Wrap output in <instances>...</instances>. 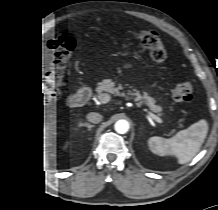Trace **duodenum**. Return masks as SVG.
Returning a JSON list of instances; mask_svg holds the SVG:
<instances>
[{"mask_svg":"<svg viewBox=\"0 0 218 210\" xmlns=\"http://www.w3.org/2000/svg\"><path fill=\"white\" fill-rule=\"evenodd\" d=\"M89 95L90 90L88 88H82L75 94L73 101V107L75 108V110H78L82 105H84L88 101Z\"/></svg>","mask_w":218,"mask_h":210,"instance_id":"1","label":"duodenum"}]
</instances>
